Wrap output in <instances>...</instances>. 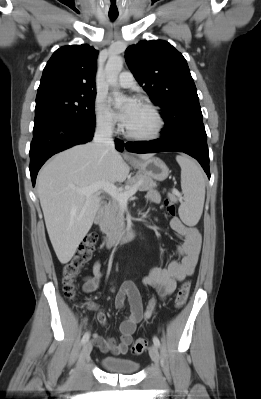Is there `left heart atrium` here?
Returning <instances> with one entry per match:
<instances>
[{
	"label": "left heart atrium",
	"mask_w": 261,
	"mask_h": 399,
	"mask_svg": "<svg viewBox=\"0 0 261 399\" xmlns=\"http://www.w3.org/2000/svg\"><path fill=\"white\" fill-rule=\"evenodd\" d=\"M140 105L141 104L136 99L131 98L128 100L126 106L118 112L117 116L124 126L128 124Z\"/></svg>",
	"instance_id": "1"
}]
</instances>
